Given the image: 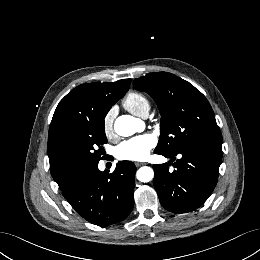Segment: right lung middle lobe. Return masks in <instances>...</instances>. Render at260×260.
<instances>
[{"label":"right lung middle lobe","instance_id":"1","mask_svg":"<svg viewBox=\"0 0 260 260\" xmlns=\"http://www.w3.org/2000/svg\"><path fill=\"white\" fill-rule=\"evenodd\" d=\"M114 104H104L100 118L87 120L77 129L69 148V158L76 172L97 165L101 159L102 145L107 143L104 118Z\"/></svg>","mask_w":260,"mask_h":260}]
</instances>
